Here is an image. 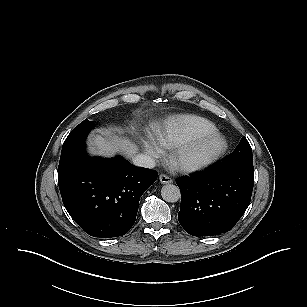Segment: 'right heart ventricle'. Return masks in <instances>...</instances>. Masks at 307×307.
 <instances>
[{
    "mask_svg": "<svg viewBox=\"0 0 307 307\" xmlns=\"http://www.w3.org/2000/svg\"><path fill=\"white\" fill-rule=\"evenodd\" d=\"M216 126L202 117L177 114L166 118L149 133L150 139L164 148L177 147L192 138L216 131Z\"/></svg>",
    "mask_w": 307,
    "mask_h": 307,
    "instance_id": "e07e8e85",
    "label": "right heart ventricle"
}]
</instances>
